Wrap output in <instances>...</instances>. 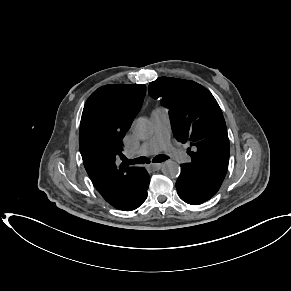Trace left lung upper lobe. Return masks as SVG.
<instances>
[{
    "mask_svg": "<svg viewBox=\"0 0 291 291\" xmlns=\"http://www.w3.org/2000/svg\"><path fill=\"white\" fill-rule=\"evenodd\" d=\"M152 98H162L169 108L172 131L188 143L191 156L187 168L220 183L229 161V139L222 111L213 95L202 85L184 79L162 77L148 86Z\"/></svg>",
    "mask_w": 291,
    "mask_h": 291,
    "instance_id": "1",
    "label": "left lung upper lobe"
}]
</instances>
